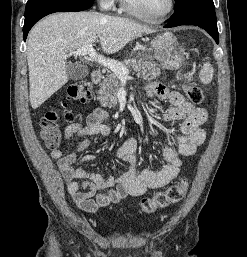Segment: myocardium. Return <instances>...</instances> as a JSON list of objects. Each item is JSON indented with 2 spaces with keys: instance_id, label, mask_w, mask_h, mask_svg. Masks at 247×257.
<instances>
[{
  "instance_id": "f54148a6",
  "label": "myocardium",
  "mask_w": 247,
  "mask_h": 257,
  "mask_svg": "<svg viewBox=\"0 0 247 257\" xmlns=\"http://www.w3.org/2000/svg\"><path fill=\"white\" fill-rule=\"evenodd\" d=\"M120 1H121L122 8L127 13H129L132 16L139 18L143 21H146L149 23H154V24H158V23H162V22L166 21L171 16V14L173 13V11L175 9V0H169L168 8L166 9V11L164 13H162L159 16H150V15L144 14L141 11H139L138 9H136L134 7V5L130 2V0H120Z\"/></svg>"
}]
</instances>
